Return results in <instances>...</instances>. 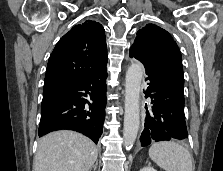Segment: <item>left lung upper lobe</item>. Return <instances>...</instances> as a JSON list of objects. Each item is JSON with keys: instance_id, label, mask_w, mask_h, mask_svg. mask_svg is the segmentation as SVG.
I'll use <instances>...</instances> for the list:
<instances>
[{"instance_id": "obj_1", "label": "left lung upper lobe", "mask_w": 223, "mask_h": 171, "mask_svg": "<svg viewBox=\"0 0 223 171\" xmlns=\"http://www.w3.org/2000/svg\"><path fill=\"white\" fill-rule=\"evenodd\" d=\"M131 48L184 84L181 53L166 30L155 24H147L137 32Z\"/></svg>"}]
</instances>
